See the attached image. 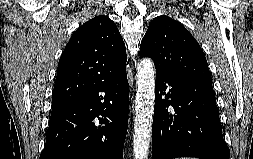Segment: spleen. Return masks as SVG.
<instances>
[{"instance_id": "3e777b00", "label": "spleen", "mask_w": 253, "mask_h": 159, "mask_svg": "<svg viewBox=\"0 0 253 159\" xmlns=\"http://www.w3.org/2000/svg\"><path fill=\"white\" fill-rule=\"evenodd\" d=\"M177 159H195V158L186 157V158H177Z\"/></svg>"}]
</instances>
